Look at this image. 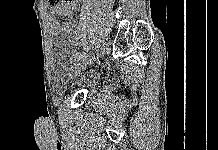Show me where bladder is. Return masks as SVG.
Segmentation results:
<instances>
[{"label": "bladder", "mask_w": 218, "mask_h": 150, "mask_svg": "<svg viewBox=\"0 0 218 150\" xmlns=\"http://www.w3.org/2000/svg\"><path fill=\"white\" fill-rule=\"evenodd\" d=\"M54 54L56 63L52 69V77L59 95H65L78 86L92 88L100 82L102 73L98 68L81 72L64 62L67 49L63 41L56 43Z\"/></svg>", "instance_id": "bladder-1"}]
</instances>
